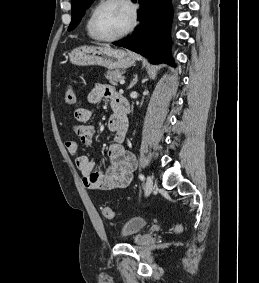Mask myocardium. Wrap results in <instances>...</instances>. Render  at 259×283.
Listing matches in <instances>:
<instances>
[{"label":"myocardium","instance_id":"1","mask_svg":"<svg viewBox=\"0 0 259 283\" xmlns=\"http://www.w3.org/2000/svg\"><path fill=\"white\" fill-rule=\"evenodd\" d=\"M115 1L122 2L129 8L131 19H130L129 25L121 33L115 36H112V37H103L99 35L96 30V17L102 7H104L105 5L111 2H115ZM137 18H138L137 8L135 4L132 2V0H101L92 11L91 18H90V25H89L90 31H91L92 36L99 41L113 42V41H116V40H119L125 37L130 32H132L135 26L137 25Z\"/></svg>","mask_w":259,"mask_h":283}]
</instances>
